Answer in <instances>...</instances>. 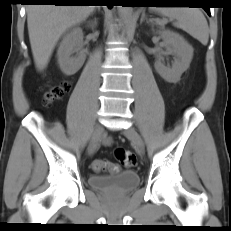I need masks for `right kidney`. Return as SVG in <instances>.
Returning <instances> with one entry per match:
<instances>
[{
  "instance_id": "ca27d5eb",
  "label": "right kidney",
  "mask_w": 231,
  "mask_h": 231,
  "mask_svg": "<svg viewBox=\"0 0 231 231\" xmlns=\"http://www.w3.org/2000/svg\"><path fill=\"white\" fill-rule=\"evenodd\" d=\"M93 25H96V22ZM82 42V29L75 27L60 43L57 57L60 69L65 75L70 76L75 74L84 64L85 54L82 51Z\"/></svg>"
}]
</instances>
